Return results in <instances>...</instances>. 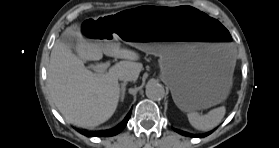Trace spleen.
Masks as SVG:
<instances>
[{"label": "spleen", "instance_id": "3e777b00", "mask_svg": "<svg viewBox=\"0 0 279 148\" xmlns=\"http://www.w3.org/2000/svg\"><path fill=\"white\" fill-rule=\"evenodd\" d=\"M226 109L224 106L212 109L205 115H199L197 112L188 113L190 124L201 131H208L216 127L225 115Z\"/></svg>", "mask_w": 279, "mask_h": 148}]
</instances>
